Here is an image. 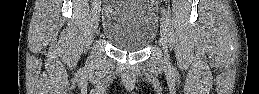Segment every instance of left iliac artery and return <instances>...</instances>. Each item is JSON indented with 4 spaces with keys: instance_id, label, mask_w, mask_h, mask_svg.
<instances>
[{
    "instance_id": "44dca946",
    "label": "left iliac artery",
    "mask_w": 259,
    "mask_h": 94,
    "mask_svg": "<svg viewBox=\"0 0 259 94\" xmlns=\"http://www.w3.org/2000/svg\"><path fill=\"white\" fill-rule=\"evenodd\" d=\"M161 13L164 17L168 18L169 17V13L165 8H161Z\"/></svg>"
}]
</instances>
